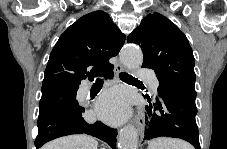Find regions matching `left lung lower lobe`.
<instances>
[{
    "label": "left lung lower lobe",
    "instance_id": "0a47b994",
    "mask_svg": "<svg viewBox=\"0 0 227 149\" xmlns=\"http://www.w3.org/2000/svg\"><path fill=\"white\" fill-rule=\"evenodd\" d=\"M144 97L149 103L145 106L144 140L156 137L180 138L200 149L194 99L174 92L161 93L160 99L156 100L149 95Z\"/></svg>",
    "mask_w": 227,
    "mask_h": 149
}]
</instances>
